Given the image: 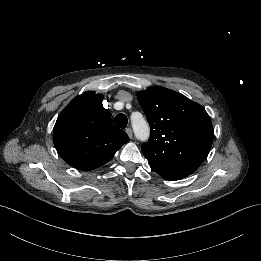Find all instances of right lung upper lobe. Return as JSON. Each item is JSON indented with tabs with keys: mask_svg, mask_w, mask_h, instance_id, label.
<instances>
[{
	"mask_svg": "<svg viewBox=\"0 0 261 261\" xmlns=\"http://www.w3.org/2000/svg\"><path fill=\"white\" fill-rule=\"evenodd\" d=\"M53 141L69 165L90 171L110 160L129 138L113 125L109 112L102 106V95L87 91L60 113Z\"/></svg>",
	"mask_w": 261,
	"mask_h": 261,
	"instance_id": "obj_1",
	"label": "right lung upper lobe"
}]
</instances>
